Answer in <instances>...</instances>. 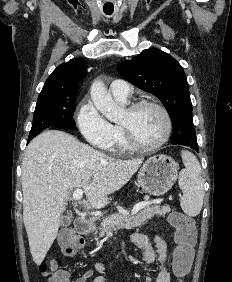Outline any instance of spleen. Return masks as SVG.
<instances>
[{
  "label": "spleen",
  "mask_w": 232,
  "mask_h": 282,
  "mask_svg": "<svg viewBox=\"0 0 232 282\" xmlns=\"http://www.w3.org/2000/svg\"><path fill=\"white\" fill-rule=\"evenodd\" d=\"M185 168L179 175V187L183 191L180 200L182 210L189 216L200 213L203 205L204 189L202 169L197 158L189 151L181 152Z\"/></svg>",
  "instance_id": "obj_1"
}]
</instances>
